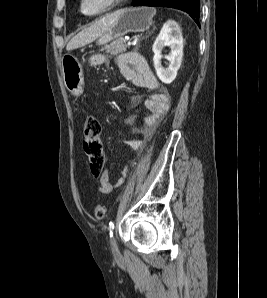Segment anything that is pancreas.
Returning <instances> with one entry per match:
<instances>
[{
    "instance_id": "1",
    "label": "pancreas",
    "mask_w": 267,
    "mask_h": 298,
    "mask_svg": "<svg viewBox=\"0 0 267 298\" xmlns=\"http://www.w3.org/2000/svg\"><path fill=\"white\" fill-rule=\"evenodd\" d=\"M126 42L127 41L124 38H118L110 45H107L104 49L106 50V52L112 53L114 55L123 53L127 48Z\"/></svg>"
}]
</instances>
